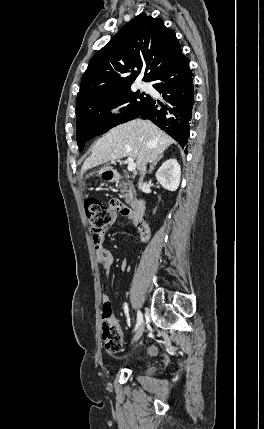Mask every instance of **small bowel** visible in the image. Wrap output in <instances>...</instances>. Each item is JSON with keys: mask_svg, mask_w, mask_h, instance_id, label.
Returning a JSON list of instances; mask_svg holds the SVG:
<instances>
[{"mask_svg": "<svg viewBox=\"0 0 264 429\" xmlns=\"http://www.w3.org/2000/svg\"><path fill=\"white\" fill-rule=\"evenodd\" d=\"M116 219H117V213H116V211H113L112 218L108 224V227L112 226L115 223ZM136 225H137L138 231L140 233L141 242L142 243L147 242V240L149 239V234H150L148 226L144 222H140ZM93 243H94V247L96 250V256H97L98 263L103 268L106 277H108L110 274L111 266L114 263V256L108 249H106L103 246V235H101L99 238H93ZM126 267H127L126 264L122 265L123 270ZM103 300H104V304H105L108 301V296L104 295ZM149 350L151 353H156L157 348L155 346H151Z\"/></svg>", "mask_w": 264, "mask_h": 429, "instance_id": "c3829d8e", "label": "small bowel"}]
</instances>
